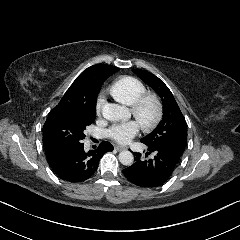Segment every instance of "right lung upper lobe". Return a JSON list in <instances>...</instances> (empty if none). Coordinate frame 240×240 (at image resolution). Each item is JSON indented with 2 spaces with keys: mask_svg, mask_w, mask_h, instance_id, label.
<instances>
[{
  "mask_svg": "<svg viewBox=\"0 0 240 240\" xmlns=\"http://www.w3.org/2000/svg\"><path fill=\"white\" fill-rule=\"evenodd\" d=\"M118 68L97 64L84 70L67 90L59 104L55 108L77 105H96V98L103 82Z\"/></svg>",
  "mask_w": 240,
  "mask_h": 240,
  "instance_id": "1",
  "label": "right lung upper lobe"
}]
</instances>
